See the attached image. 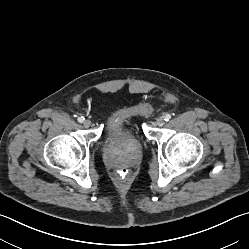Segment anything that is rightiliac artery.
I'll list each match as a JSON object with an SVG mask.
<instances>
[{
  "mask_svg": "<svg viewBox=\"0 0 249 249\" xmlns=\"http://www.w3.org/2000/svg\"><path fill=\"white\" fill-rule=\"evenodd\" d=\"M77 120H78L79 123H83L85 118L83 116H81V117H78Z\"/></svg>",
  "mask_w": 249,
  "mask_h": 249,
  "instance_id": "82829eb1",
  "label": "right iliac artery"
}]
</instances>
